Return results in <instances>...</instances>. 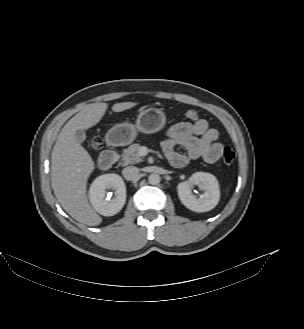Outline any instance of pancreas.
I'll use <instances>...</instances> for the list:
<instances>
[{
	"label": "pancreas",
	"mask_w": 304,
	"mask_h": 329,
	"mask_svg": "<svg viewBox=\"0 0 304 329\" xmlns=\"http://www.w3.org/2000/svg\"><path fill=\"white\" fill-rule=\"evenodd\" d=\"M141 149L140 144H132L127 149H125L122 153V164L128 165V164H136L142 161V158L139 154V151Z\"/></svg>",
	"instance_id": "obj_1"
}]
</instances>
